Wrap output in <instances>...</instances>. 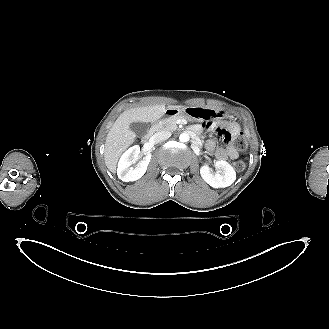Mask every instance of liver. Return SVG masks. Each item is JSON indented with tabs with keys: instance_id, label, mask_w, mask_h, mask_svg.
I'll use <instances>...</instances> for the list:
<instances>
[{
	"instance_id": "obj_1",
	"label": "liver",
	"mask_w": 329,
	"mask_h": 329,
	"mask_svg": "<svg viewBox=\"0 0 329 329\" xmlns=\"http://www.w3.org/2000/svg\"><path fill=\"white\" fill-rule=\"evenodd\" d=\"M167 108H183V106L168 105ZM165 112V105L161 104L130 108L120 114L107 134L104 150L105 164L112 173L116 172L117 162L122 152L136 138V134L130 130V124L133 122H154L160 119Z\"/></svg>"
}]
</instances>
